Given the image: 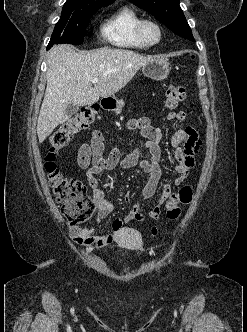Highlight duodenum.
I'll list each match as a JSON object with an SVG mask.
<instances>
[{"instance_id": "410a0bca", "label": "duodenum", "mask_w": 247, "mask_h": 332, "mask_svg": "<svg viewBox=\"0 0 247 332\" xmlns=\"http://www.w3.org/2000/svg\"><path fill=\"white\" fill-rule=\"evenodd\" d=\"M111 104H112V102L110 100L104 99V100L101 101L100 106H101L102 109H107L111 106Z\"/></svg>"}]
</instances>
